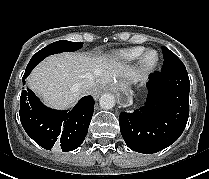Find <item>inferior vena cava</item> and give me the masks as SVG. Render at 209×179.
I'll use <instances>...</instances> for the list:
<instances>
[{
  "instance_id": "602c4592",
  "label": "inferior vena cava",
  "mask_w": 209,
  "mask_h": 179,
  "mask_svg": "<svg viewBox=\"0 0 209 179\" xmlns=\"http://www.w3.org/2000/svg\"><path fill=\"white\" fill-rule=\"evenodd\" d=\"M95 85V81L93 79H84L79 84L78 87L80 90L86 92L90 90Z\"/></svg>"
}]
</instances>
